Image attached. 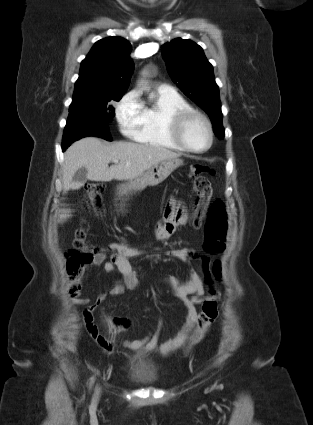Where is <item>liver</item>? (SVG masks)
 Returning a JSON list of instances; mask_svg holds the SVG:
<instances>
[{
    "mask_svg": "<svg viewBox=\"0 0 313 425\" xmlns=\"http://www.w3.org/2000/svg\"><path fill=\"white\" fill-rule=\"evenodd\" d=\"M178 157L179 154L159 146L132 142L108 145L95 137L82 138L65 152L63 192L81 188V183L73 182V176L82 167L86 168L87 179L91 181L129 180L163 160ZM113 159L119 160V163L109 167ZM70 213L69 209L61 210L59 222L69 218Z\"/></svg>",
    "mask_w": 313,
    "mask_h": 425,
    "instance_id": "liver-1",
    "label": "liver"
}]
</instances>
